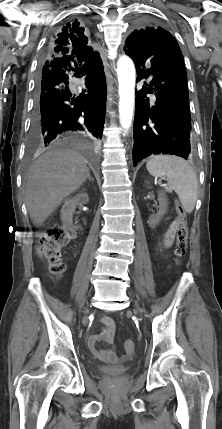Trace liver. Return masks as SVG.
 Wrapping results in <instances>:
<instances>
[{
  "label": "liver",
  "mask_w": 222,
  "mask_h": 429,
  "mask_svg": "<svg viewBox=\"0 0 222 429\" xmlns=\"http://www.w3.org/2000/svg\"><path fill=\"white\" fill-rule=\"evenodd\" d=\"M86 159L76 151L54 149L40 156L29 168L25 200L34 225L43 224L61 202L86 180Z\"/></svg>",
  "instance_id": "1"
}]
</instances>
